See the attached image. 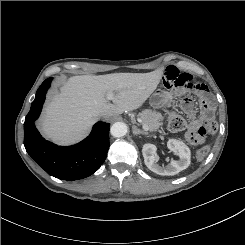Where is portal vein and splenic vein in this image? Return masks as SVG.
<instances>
[{
    "label": "portal vein and splenic vein",
    "instance_id": "obj_1",
    "mask_svg": "<svg viewBox=\"0 0 245 245\" xmlns=\"http://www.w3.org/2000/svg\"><path fill=\"white\" fill-rule=\"evenodd\" d=\"M108 99H109V100H112V99H113V94H109V95H108ZM138 122L142 123V128H143L145 131H148V130H149V127H148L146 124H144L140 118L138 119Z\"/></svg>",
    "mask_w": 245,
    "mask_h": 245
}]
</instances>
